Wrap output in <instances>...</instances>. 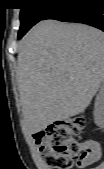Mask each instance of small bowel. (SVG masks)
I'll return each instance as SVG.
<instances>
[{"mask_svg":"<svg viewBox=\"0 0 104 169\" xmlns=\"http://www.w3.org/2000/svg\"><path fill=\"white\" fill-rule=\"evenodd\" d=\"M92 141H93V143H94L95 147H97V149H98L99 153H101V145H100V143H99V142H97V141H95V140H92Z\"/></svg>","mask_w":104,"mask_h":169,"instance_id":"1","label":"small bowel"}]
</instances>
